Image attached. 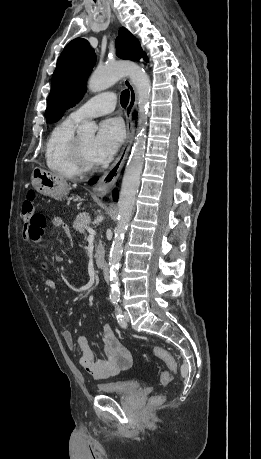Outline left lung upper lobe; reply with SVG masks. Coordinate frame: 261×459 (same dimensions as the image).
<instances>
[{
  "label": "left lung upper lobe",
  "mask_w": 261,
  "mask_h": 459,
  "mask_svg": "<svg viewBox=\"0 0 261 459\" xmlns=\"http://www.w3.org/2000/svg\"><path fill=\"white\" fill-rule=\"evenodd\" d=\"M116 49L117 56L122 59L137 61L143 57L147 61L139 41L125 28L119 30ZM95 60L94 50L85 39L76 38L67 44L58 58L52 77L46 109L48 122L58 121L64 109L75 106L82 99Z\"/></svg>",
  "instance_id": "5c2ea615"
}]
</instances>
